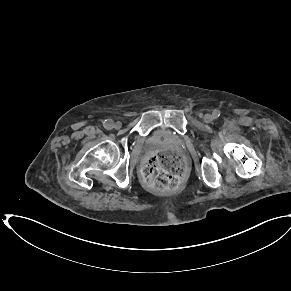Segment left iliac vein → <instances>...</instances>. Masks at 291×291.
<instances>
[{"label":"left iliac vein","mask_w":291,"mask_h":291,"mask_svg":"<svg viewBox=\"0 0 291 291\" xmlns=\"http://www.w3.org/2000/svg\"><path fill=\"white\" fill-rule=\"evenodd\" d=\"M203 119L206 123H210L213 120V116L211 114H206Z\"/></svg>","instance_id":"1"}]
</instances>
